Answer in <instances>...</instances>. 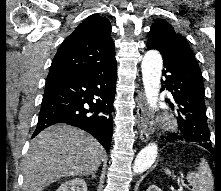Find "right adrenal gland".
Returning <instances> with one entry per match:
<instances>
[{"mask_svg":"<svg viewBox=\"0 0 221 191\" xmlns=\"http://www.w3.org/2000/svg\"><path fill=\"white\" fill-rule=\"evenodd\" d=\"M88 175H91V176H92V178L96 179V175H95V172H93V173H90V174H88Z\"/></svg>","mask_w":221,"mask_h":191,"instance_id":"1","label":"right adrenal gland"}]
</instances>
